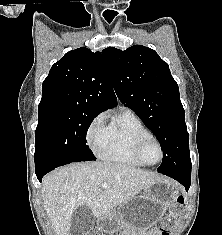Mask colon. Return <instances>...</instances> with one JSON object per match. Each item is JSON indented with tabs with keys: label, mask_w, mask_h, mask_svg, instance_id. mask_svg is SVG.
<instances>
[{
	"label": "colon",
	"mask_w": 222,
	"mask_h": 235,
	"mask_svg": "<svg viewBox=\"0 0 222 235\" xmlns=\"http://www.w3.org/2000/svg\"><path fill=\"white\" fill-rule=\"evenodd\" d=\"M184 203V197L180 195L177 199V204L170 209L169 214L164 218L161 225V235H170L169 230L178 218L181 208L180 206ZM87 235H104L98 231H90Z\"/></svg>",
	"instance_id": "1"
}]
</instances>
